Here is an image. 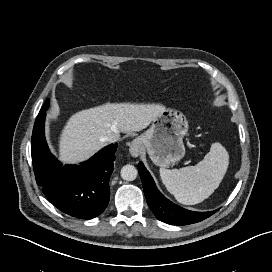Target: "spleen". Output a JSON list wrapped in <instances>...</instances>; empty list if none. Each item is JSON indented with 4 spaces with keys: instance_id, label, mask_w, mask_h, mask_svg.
<instances>
[{
    "instance_id": "obj_1",
    "label": "spleen",
    "mask_w": 272,
    "mask_h": 272,
    "mask_svg": "<svg viewBox=\"0 0 272 272\" xmlns=\"http://www.w3.org/2000/svg\"><path fill=\"white\" fill-rule=\"evenodd\" d=\"M229 165V155L220 143L211 145L204 159L195 166L180 169L160 168V176L167 190L185 205L207 199L218 188Z\"/></svg>"
}]
</instances>
